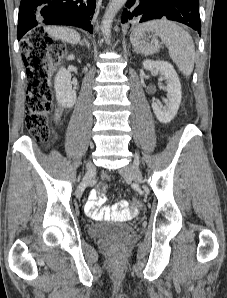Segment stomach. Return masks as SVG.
<instances>
[{
  "label": "stomach",
  "mask_w": 227,
  "mask_h": 298,
  "mask_svg": "<svg viewBox=\"0 0 227 298\" xmlns=\"http://www.w3.org/2000/svg\"><path fill=\"white\" fill-rule=\"evenodd\" d=\"M145 37H146V35L143 34V35L140 37V40L142 41Z\"/></svg>",
  "instance_id": "obj_1"
}]
</instances>
